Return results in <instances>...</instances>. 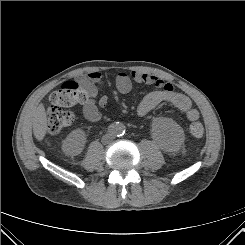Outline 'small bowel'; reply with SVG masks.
I'll use <instances>...</instances> for the list:
<instances>
[{
	"instance_id": "obj_1",
	"label": "small bowel",
	"mask_w": 245,
	"mask_h": 245,
	"mask_svg": "<svg viewBox=\"0 0 245 245\" xmlns=\"http://www.w3.org/2000/svg\"><path fill=\"white\" fill-rule=\"evenodd\" d=\"M101 80V74L95 71L80 76L77 80L90 93L88 100L83 103L82 110L84 117L91 122H96L101 119L102 116L99 107H105L108 103L107 96H101L97 99ZM134 83L153 85L157 88L145 95L137 106L136 115L138 118L145 117L161 103L168 102L182 111L189 121L193 122L199 119V111L193 107L190 98L182 93L176 92L172 84L165 82L155 75L137 71H133L130 74L120 72L115 79L116 88L121 94L129 93Z\"/></svg>"
}]
</instances>
